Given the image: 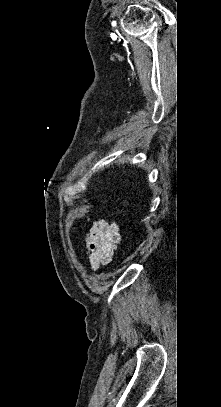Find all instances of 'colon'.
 I'll use <instances>...</instances> for the list:
<instances>
[{
  "instance_id": "5ec220e1",
  "label": "colon",
  "mask_w": 221,
  "mask_h": 407,
  "mask_svg": "<svg viewBox=\"0 0 221 407\" xmlns=\"http://www.w3.org/2000/svg\"><path fill=\"white\" fill-rule=\"evenodd\" d=\"M126 207H127V206H126ZM124 211L126 212V211H128V209H127V208H125V209H124Z\"/></svg>"
}]
</instances>
